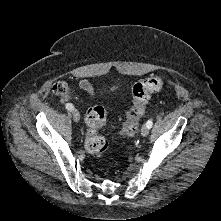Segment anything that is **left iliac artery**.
Segmentation results:
<instances>
[{"instance_id": "1", "label": "left iliac artery", "mask_w": 221, "mask_h": 221, "mask_svg": "<svg viewBox=\"0 0 221 221\" xmlns=\"http://www.w3.org/2000/svg\"><path fill=\"white\" fill-rule=\"evenodd\" d=\"M152 125H153V122H152L151 119L146 122V126H147L149 129L152 127Z\"/></svg>"}]
</instances>
